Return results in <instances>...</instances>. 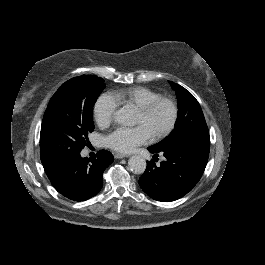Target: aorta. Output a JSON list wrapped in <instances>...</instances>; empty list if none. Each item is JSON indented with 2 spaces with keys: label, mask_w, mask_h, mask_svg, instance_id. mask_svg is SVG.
I'll return each mask as SVG.
<instances>
[{
  "label": "aorta",
  "mask_w": 265,
  "mask_h": 265,
  "mask_svg": "<svg viewBox=\"0 0 265 265\" xmlns=\"http://www.w3.org/2000/svg\"><path fill=\"white\" fill-rule=\"evenodd\" d=\"M128 114L125 108H121L115 113V121L118 123H127ZM129 169L135 174H142L146 169V160L138 155L131 156L128 160Z\"/></svg>",
  "instance_id": "1"
}]
</instances>
